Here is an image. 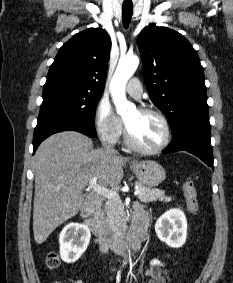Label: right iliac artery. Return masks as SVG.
Listing matches in <instances>:
<instances>
[{"label": "right iliac artery", "instance_id": "obj_1", "mask_svg": "<svg viewBox=\"0 0 233 283\" xmlns=\"http://www.w3.org/2000/svg\"><path fill=\"white\" fill-rule=\"evenodd\" d=\"M120 277H121V270H119L118 273H117L116 283L120 282Z\"/></svg>", "mask_w": 233, "mask_h": 283}]
</instances>
